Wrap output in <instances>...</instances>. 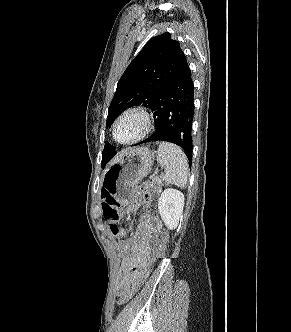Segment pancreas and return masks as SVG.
Returning <instances> with one entry per match:
<instances>
[{
	"mask_svg": "<svg viewBox=\"0 0 291 332\" xmlns=\"http://www.w3.org/2000/svg\"><path fill=\"white\" fill-rule=\"evenodd\" d=\"M152 182L154 184H157L158 186H163L164 184L162 183V178L156 176L152 178Z\"/></svg>",
	"mask_w": 291,
	"mask_h": 332,
	"instance_id": "pancreas-1",
	"label": "pancreas"
}]
</instances>
